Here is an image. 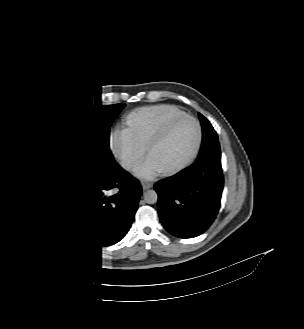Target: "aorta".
I'll use <instances>...</instances> for the list:
<instances>
[{"label":"aorta","mask_w":304,"mask_h":329,"mask_svg":"<svg viewBox=\"0 0 304 329\" xmlns=\"http://www.w3.org/2000/svg\"><path fill=\"white\" fill-rule=\"evenodd\" d=\"M158 195L155 190H147L144 192V201L148 204H154L157 202Z\"/></svg>","instance_id":"aorta-1"}]
</instances>
